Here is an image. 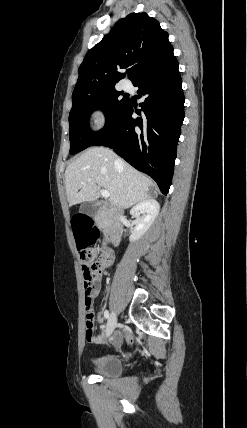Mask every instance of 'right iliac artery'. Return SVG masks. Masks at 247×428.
Instances as JSON below:
<instances>
[{
    "mask_svg": "<svg viewBox=\"0 0 247 428\" xmlns=\"http://www.w3.org/2000/svg\"><path fill=\"white\" fill-rule=\"evenodd\" d=\"M104 317L107 319L109 317V312L107 310H105L104 312Z\"/></svg>",
    "mask_w": 247,
    "mask_h": 428,
    "instance_id": "1",
    "label": "right iliac artery"
}]
</instances>
